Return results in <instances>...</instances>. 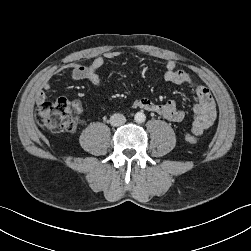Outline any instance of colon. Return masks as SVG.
I'll return each instance as SVG.
<instances>
[{"instance_id": "obj_1", "label": "colon", "mask_w": 251, "mask_h": 251, "mask_svg": "<svg viewBox=\"0 0 251 251\" xmlns=\"http://www.w3.org/2000/svg\"><path fill=\"white\" fill-rule=\"evenodd\" d=\"M78 116V106L63 98L54 102H42L35 110L36 122L53 134L74 130L78 124ZM187 139L190 143L196 141L192 135H188Z\"/></svg>"}]
</instances>
